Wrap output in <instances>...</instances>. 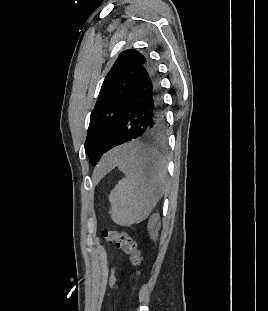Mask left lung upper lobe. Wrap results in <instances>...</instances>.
Listing matches in <instances>:
<instances>
[{
  "mask_svg": "<svg viewBox=\"0 0 268 311\" xmlns=\"http://www.w3.org/2000/svg\"><path fill=\"white\" fill-rule=\"evenodd\" d=\"M148 60V57L137 50H125L120 53L107 74L90 116L85 141V150L93 165L98 163L113 135L120 128L137 73Z\"/></svg>",
  "mask_w": 268,
  "mask_h": 311,
  "instance_id": "1",
  "label": "left lung upper lobe"
}]
</instances>
